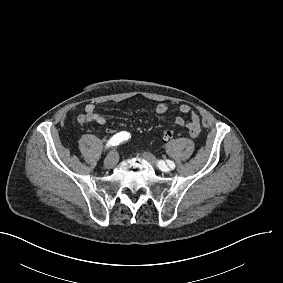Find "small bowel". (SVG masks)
I'll return each instance as SVG.
<instances>
[{
  "mask_svg": "<svg viewBox=\"0 0 283 283\" xmlns=\"http://www.w3.org/2000/svg\"><path fill=\"white\" fill-rule=\"evenodd\" d=\"M168 111L166 103H158L155 106L154 112L156 116H162ZM181 114L190 115L189 120L178 116L175 119V124L180 127H186L192 138H197L201 131L200 116L197 112L193 111L189 104L183 103L179 106ZM80 124L94 122L100 125L107 124V118L97 110V106L93 103L87 104L84 108V113L80 114L77 118ZM109 133H113L112 129H108Z\"/></svg>",
  "mask_w": 283,
  "mask_h": 283,
  "instance_id": "small-bowel-1",
  "label": "small bowel"
}]
</instances>
